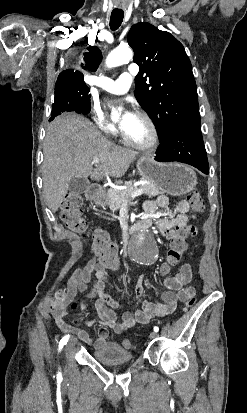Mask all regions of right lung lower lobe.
<instances>
[{
	"label": "right lung lower lobe",
	"instance_id": "obj_1",
	"mask_svg": "<svg viewBox=\"0 0 247 413\" xmlns=\"http://www.w3.org/2000/svg\"><path fill=\"white\" fill-rule=\"evenodd\" d=\"M91 107H87L81 101L74 98H58L54 100L52 105V112L50 121L53 120L56 116L60 115L63 112H76L78 114H88Z\"/></svg>",
	"mask_w": 247,
	"mask_h": 413
}]
</instances>
